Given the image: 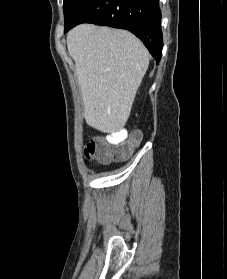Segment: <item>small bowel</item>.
I'll use <instances>...</instances> for the list:
<instances>
[{
  "mask_svg": "<svg viewBox=\"0 0 227 279\" xmlns=\"http://www.w3.org/2000/svg\"><path fill=\"white\" fill-rule=\"evenodd\" d=\"M127 132L124 129L118 130L111 135L105 137V140L112 145L118 144L127 138Z\"/></svg>",
  "mask_w": 227,
  "mask_h": 279,
  "instance_id": "1",
  "label": "small bowel"
}]
</instances>
